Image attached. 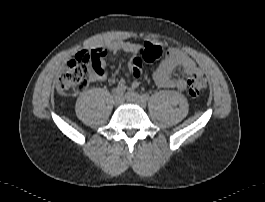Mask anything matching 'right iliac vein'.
Segmentation results:
<instances>
[{
  "label": "right iliac vein",
  "mask_w": 265,
  "mask_h": 202,
  "mask_svg": "<svg viewBox=\"0 0 265 202\" xmlns=\"http://www.w3.org/2000/svg\"><path fill=\"white\" fill-rule=\"evenodd\" d=\"M114 102L116 105L122 104L124 102V96L123 95L115 96Z\"/></svg>",
  "instance_id": "obj_1"
}]
</instances>
